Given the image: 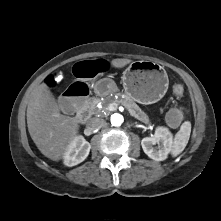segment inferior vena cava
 <instances>
[{"label": "inferior vena cava", "mask_w": 221, "mask_h": 221, "mask_svg": "<svg viewBox=\"0 0 221 221\" xmlns=\"http://www.w3.org/2000/svg\"><path fill=\"white\" fill-rule=\"evenodd\" d=\"M104 124H105L104 119H102V118H97V117H93V118H90V119L87 121L86 127H87L89 130H96V129L101 128Z\"/></svg>", "instance_id": "1"}]
</instances>
